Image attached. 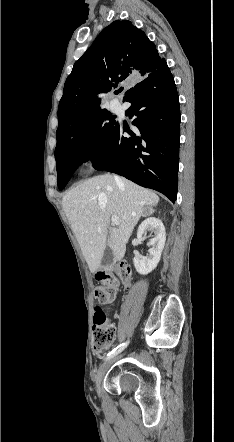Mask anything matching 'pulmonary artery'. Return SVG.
<instances>
[{"instance_id":"1","label":"pulmonary artery","mask_w":234,"mask_h":442,"mask_svg":"<svg viewBox=\"0 0 234 442\" xmlns=\"http://www.w3.org/2000/svg\"><path fill=\"white\" fill-rule=\"evenodd\" d=\"M110 108L114 112H118L120 110V104L117 101H111Z\"/></svg>"}]
</instances>
